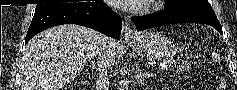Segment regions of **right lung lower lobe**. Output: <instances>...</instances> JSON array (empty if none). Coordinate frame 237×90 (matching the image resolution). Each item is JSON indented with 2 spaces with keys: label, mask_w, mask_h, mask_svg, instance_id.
Segmentation results:
<instances>
[{
  "label": "right lung lower lobe",
  "mask_w": 237,
  "mask_h": 90,
  "mask_svg": "<svg viewBox=\"0 0 237 90\" xmlns=\"http://www.w3.org/2000/svg\"><path fill=\"white\" fill-rule=\"evenodd\" d=\"M61 24L82 25L119 39L122 19L103 1L55 4L35 10L25 44L37 33Z\"/></svg>",
  "instance_id": "98d812e1"
}]
</instances>
